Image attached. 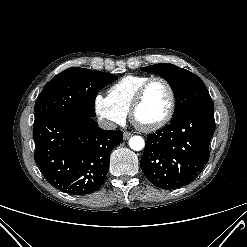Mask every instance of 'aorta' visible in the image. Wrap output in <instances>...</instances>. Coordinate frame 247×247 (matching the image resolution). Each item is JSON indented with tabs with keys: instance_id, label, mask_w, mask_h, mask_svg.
<instances>
[{
	"instance_id": "1",
	"label": "aorta",
	"mask_w": 247,
	"mask_h": 247,
	"mask_svg": "<svg viewBox=\"0 0 247 247\" xmlns=\"http://www.w3.org/2000/svg\"><path fill=\"white\" fill-rule=\"evenodd\" d=\"M129 146L134 151H140L145 146V141L141 136H133L129 140Z\"/></svg>"
}]
</instances>
